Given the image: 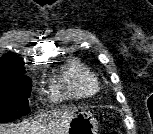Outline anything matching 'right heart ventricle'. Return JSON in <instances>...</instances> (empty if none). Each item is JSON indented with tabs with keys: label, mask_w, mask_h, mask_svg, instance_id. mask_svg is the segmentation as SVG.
Masks as SVG:
<instances>
[{
	"label": "right heart ventricle",
	"mask_w": 153,
	"mask_h": 134,
	"mask_svg": "<svg viewBox=\"0 0 153 134\" xmlns=\"http://www.w3.org/2000/svg\"><path fill=\"white\" fill-rule=\"evenodd\" d=\"M53 98H87L96 94L99 83L95 73L82 61L72 58L54 81Z\"/></svg>",
	"instance_id": "e07e8e85"
}]
</instances>
